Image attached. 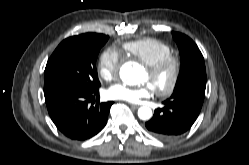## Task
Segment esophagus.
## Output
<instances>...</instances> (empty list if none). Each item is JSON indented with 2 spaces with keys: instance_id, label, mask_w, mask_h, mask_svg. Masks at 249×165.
<instances>
[{
  "instance_id": "1",
  "label": "esophagus",
  "mask_w": 249,
  "mask_h": 165,
  "mask_svg": "<svg viewBox=\"0 0 249 165\" xmlns=\"http://www.w3.org/2000/svg\"><path fill=\"white\" fill-rule=\"evenodd\" d=\"M130 106H131L132 108H138V107H139V105H135V104H130Z\"/></svg>"
}]
</instances>
